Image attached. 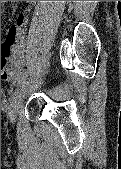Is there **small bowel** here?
Returning a JSON list of instances; mask_svg holds the SVG:
<instances>
[{
	"label": "small bowel",
	"mask_w": 121,
	"mask_h": 169,
	"mask_svg": "<svg viewBox=\"0 0 121 169\" xmlns=\"http://www.w3.org/2000/svg\"><path fill=\"white\" fill-rule=\"evenodd\" d=\"M21 1H1L2 4ZM32 2V1H25ZM27 16L17 17L16 25L9 28L6 39L1 46V78L4 81L17 80L23 73L27 63L25 26Z\"/></svg>",
	"instance_id": "c3829d8e"
}]
</instances>
